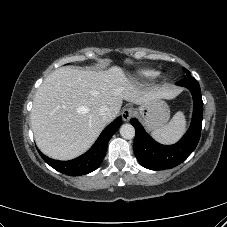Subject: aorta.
Wrapping results in <instances>:
<instances>
[{
	"mask_svg": "<svg viewBox=\"0 0 227 227\" xmlns=\"http://www.w3.org/2000/svg\"><path fill=\"white\" fill-rule=\"evenodd\" d=\"M120 134L124 139H132L135 136V128L131 124H123L120 127Z\"/></svg>",
	"mask_w": 227,
	"mask_h": 227,
	"instance_id": "762f6f07",
	"label": "aorta"
}]
</instances>
